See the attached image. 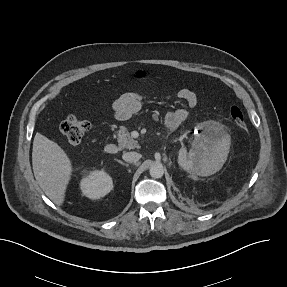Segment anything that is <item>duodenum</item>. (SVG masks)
Returning <instances> with one entry per match:
<instances>
[{
  "instance_id": "1",
  "label": "duodenum",
  "mask_w": 287,
  "mask_h": 287,
  "mask_svg": "<svg viewBox=\"0 0 287 287\" xmlns=\"http://www.w3.org/2000/svg\"><path fill=\"white\" fill-rule=\"evenodd\" d=\"M105 151H106L107 154H115V153L118 152V148H117V146L115 144L109 143L105 147Z\"/></svg>"
}]
</instances>
